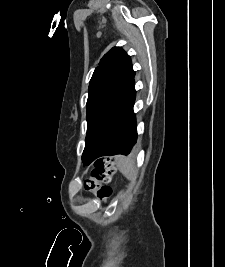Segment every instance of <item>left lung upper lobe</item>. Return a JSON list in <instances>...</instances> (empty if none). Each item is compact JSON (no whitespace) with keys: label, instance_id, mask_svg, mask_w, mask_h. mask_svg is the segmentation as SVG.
I'll use <instances>...</instances> for the list:
<instances>
[{"label":"left lung upper lobe","instance_id":"5c2ea615","mask_svg":"<svg viewBox=\"0 0 225 267\" xmlns=\"http://www.w3.org/2000/svg\"><path fill=\"white\" fill-rule=\"evenodd\" d=\"M134 76L131 59L120 47L112 48L96 67L88 90L84 165L92 163L103 147Z\"/></svg>","mask_w":225,"mask_h":267}]
</instances>
